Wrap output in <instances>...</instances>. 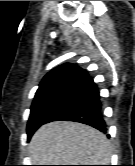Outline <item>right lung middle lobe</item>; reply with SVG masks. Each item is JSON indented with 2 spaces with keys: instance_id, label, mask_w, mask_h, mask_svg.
Segmentation results:
<instances>
[{
  "instance_id": "1",
  "label": "right lung middle lobe",
  "mask_w": 135,
  "mask_h": 166,
  "mask_svg": "<svg viewBox=\"0 0 135 166\" xmlns=\"http://www.w3.org/2000/svg\"><path fill=\"white\" fill-rule=\"evenodd\" d=\"M72 95L67 87L55 90L33 101L27 124L28 139L43 124L53 121L67 110Z\"/></svg>"
}]
</instances>
